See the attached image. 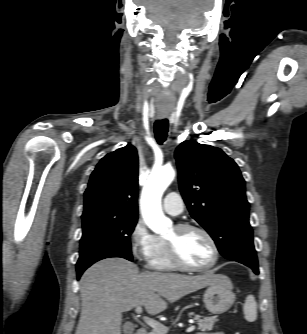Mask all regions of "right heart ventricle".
<instances>
[{
    "label": "right heart ventricle",
    "instance_id": "obj_1",
    "mask_svg": "<svg viewBox=\"0 0 307 334\" xmlns=\"http://www.w3.org/2000/svg\"><path fill=\"white\" fill-rule=\"evenodd\" d=\"M148 264L151 269L159 271H171L176 268L170 260L166 243L163 239L157 238L156 249L154 250Z\"/></svg>",
    "mask_w": 307,
    "mask_h": 334
}]
</instances>
